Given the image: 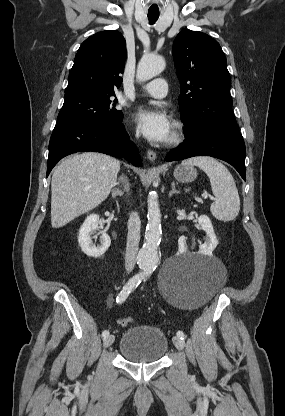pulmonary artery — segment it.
Masks as SVG:
<instances>
[{
    "mask_svg": "<svg viewBox=\"0 0 285 416\" xmlns=\"http://www.w3.org/2000/svg\"><path fill=\"white\" fill-rule=\"evenodd\" d=\"M167 85V82L163 78H156L152 81L141 85L138 90L140 92L147 93L150 96L157 97L158 101L164 100L165 91L162 90L164 86Z\"/></svg>",
    "mask_w": 285,
    "mask_h": 416,
    "instance_id": "1",
    "label": "pulmonary artery"
}]
</instances>
